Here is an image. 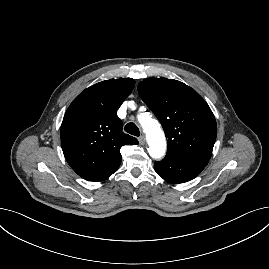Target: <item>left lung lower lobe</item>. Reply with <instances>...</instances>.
<instances>
[{"label": "left lung lower lobe", "instance_id": "0a47b994", "mask_svg": "<svg viewBox=\"0 0 269 269\" xmlns=\"http://www.w3.org/2000/svg\"><path fill=\"white\" fill-rule=\"evenodd\" d=\"M208 159L167 154L162 161L154 163V169L159 176L170 183H183L195 178L207 165Z\"/></svg>", "mask_w": 269, "mask_h": 269}]
</instances>
